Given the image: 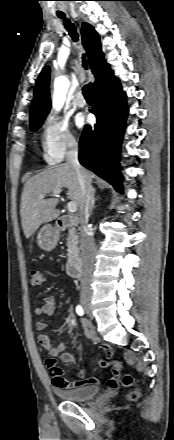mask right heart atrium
<instances>
[{"label": "right heart atrium", "mask_w": 174, "mask_h": 440, "mask_svg": "<svg viewBox=\"0 0 174 440\" xmlns=\"http://www.w3.org/2000/svg\"><path fill=\"white\" fill-rule=\"evenodd\" d=\"M41 139L43 157L48 164L60 162L68 152L78 146L77 138L68 123L55 115H49L44 120Z\"/></svg>", "instance_id": "1"}]
</instances>
